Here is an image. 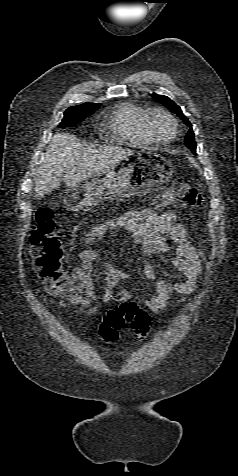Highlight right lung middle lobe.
Masks as SVG:
<instances>
[{
	"label": "right lung middle lobe",
	"mask_w": 238,
	"mask_h": 476,
	"mask_svg": "<svg viewBox=\"0 0 238 476\" xmlns=\"http://www.w3.org/2000/svg\"><path fill=\"white\" fill-rule=\"evenodd\" d=\"M98 108H99V106H97V107H94V106H89V107L72 106V107L68 108L65 111L64 118H63L62 122L59 124V126L60 127H67V126L75 125V124L81 122L86 117L93 114Z\"/></svg>",
	"instance_id": "dd1d6c3e"
}]
</instances>
